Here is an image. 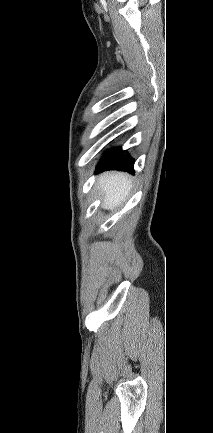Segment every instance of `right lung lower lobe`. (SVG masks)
<instances>
[{"label":"right lung lower lobe","mask_w":213,"mask_h":433,"mask_svg":"<svg viewBox=\"0 0 213 433\" xmlns=\"http://www.w3.org/2000/svg\"><path fill=\"white\" fill-rule=\"evenodd\" d=\"M134 160L124 154L120 148H115L104 155L97 165L96 172L104 170H120L133 172Z\"/></svg>","instance_id":"right-lung-lower-lobe-1"}]
</instances>
